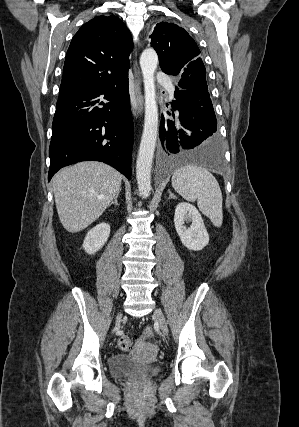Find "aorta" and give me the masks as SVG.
Instances as JSON below:
<instances>
[{
    "label": "aorta",
    "instance_id": "obj_1",
    "mask_svg": "<svg viewBox=\"0 0 299 427\" xmlns=\"http://www.w3.org/2000/svg\"><path fill=\"white\" fill-rule=\"evenodd\" d=\"M158 56L154 49H145L140 57L145 94V118L136 161V179L140 195L148 198L152 190L151 169L158 133V107L154 73Z\"/></svg>",
    "mask_w": 299,
    "mask_h": 427
}]
</instances>
